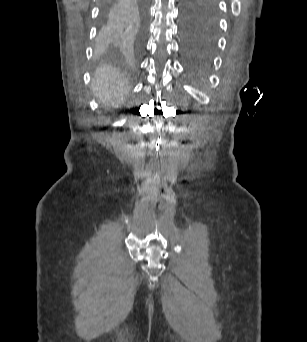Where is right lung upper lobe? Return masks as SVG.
<instances>
[{"mask_svg": "<svg viewBox=\"0 0 307 342\" xmlns=\"http://www.w3.org/2000/svg\"><path fill=\"white\" fill-rule=\"evenodd\" d=\"M107 7L120 11L124 17L130 18L135 24H139L145 11V0H111Z\"/></svg>", "mask_w": 307, "mask_h": 342, "instance_id": "obj_1", "label": "right lung upper lobe"}]
</instances>
